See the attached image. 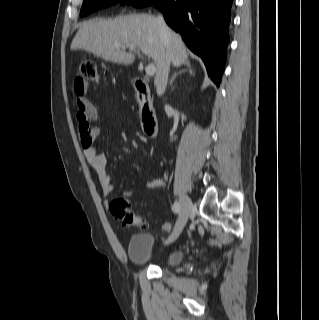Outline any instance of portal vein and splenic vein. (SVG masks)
I'll return each instance as SVG.
<instances>
[{
    "mask_svg": "<svg viewBox=\"0 0 319 320\" xmlns=\"http://www.w3.org/2000/svg\"><path fill=\"white\" fill-rule=\"evenodd\" d=\"M115 47H116V48H120L119 45H116ZM129 50H130V51H135V48L129 47ZM137 53H138V56H140L139 52H137ZM145 71H146V74H147L148 76L154 75L155 72H156V66H155L153 63H149V64L146 66Z\"/></svg>",
    "mask_w": 319,
    "mask_h": 320,
    "instance_id": "1",
    "label": "portal vein and splenic vein"
}]
</instances>
